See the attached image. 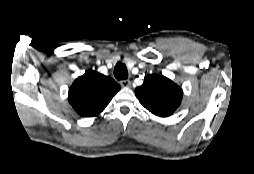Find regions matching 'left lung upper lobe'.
Here are the masks:
<instances>
[{
	"instance_id": "1",
	"label": "left lung upper lobe",
	"mask_w": 254,
	"mask_h": 174,
	"mask_svg": "<svg viewBox=\"0 0 254 174\" xmlns=\"http://www.w3.org/2000/svg\"><path fill=\"white\" fill-rule=\"evenodd\" d=\"M140 103L151 113L167 117L174 113L182 100V89L170 79L148 75L144 83L135 89Z\"/></svg>"
}]
</instances>
